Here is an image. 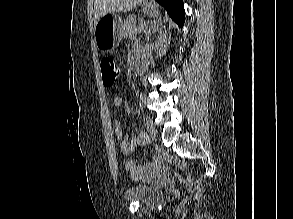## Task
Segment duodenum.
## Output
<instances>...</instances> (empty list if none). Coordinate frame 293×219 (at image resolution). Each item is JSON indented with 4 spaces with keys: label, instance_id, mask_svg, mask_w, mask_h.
<instances>
[{
    "label": "duodenum",
    "instance_id": "duodenum-1",
    "mask_svg": "<svg viewBox=\"0 0 293 219\" xmlns=\"http://www.w3.org/2000/svg\"><path fill=\"white\" fill-rule=\"evenodd\" d=\"M146 70V65L142 60H137L134 66L136 74H142Z\"/></svg>",
    "mask_w": 293,
    "mask_h": 219
}]
</instances>
